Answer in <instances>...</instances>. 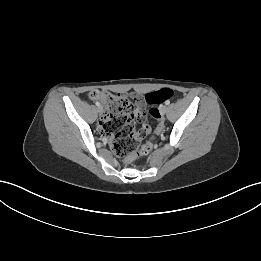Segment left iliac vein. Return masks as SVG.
Here are the masks:
<instances>
[{
    "instance_id": "left-iliac-vein-1",
    "label": "left iliac vein",
    "mask_w": 261,
    "mask_h": 261,
    "mask_svg": "<svg viewBox=\"0 0 261 261\" xmlns=\"http://www.w3.org/2000/svg\"><path fill=\"white\" fill-rule=\"evenodd\" d=\"M160 112H161V114L164 115L167 112V106L166 105L161 106L160 107Z\"/></svg>"
}]
</instances>
